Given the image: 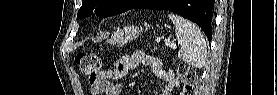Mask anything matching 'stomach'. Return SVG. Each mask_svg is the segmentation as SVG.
I'll return each instance as SVG.
<instances>
[{
	"label": "stomach",
	"mask_w": 277,
	"mask_h": 95,
	"mask_svg": "<svg viewBox=\"0 0 277 95\" xmlns=\"http://www.w3.org/2000/svg\"><path fill=\"white\" fill-rule=\"evenodd\" d=\"M140 35V30L134 26H126L116 32L110 39L111 43L118 45H125L138 38Z\"/></svg>",
	"instance_id": "1"
}]
</instances>
